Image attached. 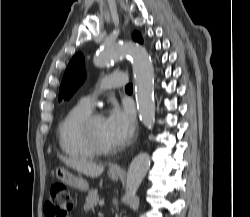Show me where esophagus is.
I'll list each match as a JSON object with an SVG mask.
<instances>
[{
  "label": "esophagus",
  "mask_w": 250,
  "mask_h": 217,
  "mask_svg": "<svg viewBox=\"0 0 250 217\" xmlns=\"http://www.w3.org/2000/svg\"><path fill=\"white\" fill-rule=\"evenodd\" d=\"M111 170H113V171H121L120 167H118V166H113L111 168Z\"/></svg>",
  "instance_id": "34e87169"
}]
</instances>
